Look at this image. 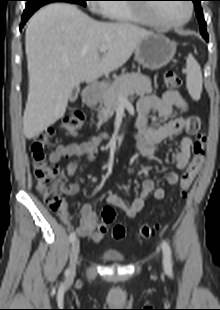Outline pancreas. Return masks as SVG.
<instances>
[{
	"label": "pancreas",
	"instance_id": "obj_1",
	"mask_svg": "<svg viewBox=\"0 0 220 310\" xmlns=\"http://www.w3.org/2000/svg\"><path fill=\"white\" fill-rule=\"evenodd\" d=\"M152 92L149 77L138 73H127L116 78L114 82L104 91L102 103L98 109V119L106 122L111 113L117 108L121 97L131 95H144Z\"/></svg>",
	"mask_w": 220,
	"mask_h": 310
}]
</instances>
